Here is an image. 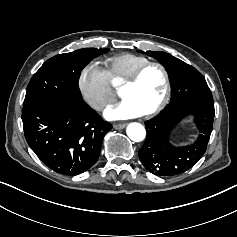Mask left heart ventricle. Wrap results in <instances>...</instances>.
I'll use <instances>...</instances> for the list:
<instances>
[{
  "instance_id": "1",
  "label": "left heart ventricle",
  "mask_w": 237,
  "mask_h": 237,
  "mask_svg": "<svg viewBox=\"0 0 237 237\" xmlns=\"http://www.w3.org/2000/svg\"><path fill=\"white\" fill-rule=\"evenodd\" d=\"M165 93V81L158 67L147 69L139 81L125 88L121 97L130 101L142 114L154 109L162 100Z\"/></svg>"
}]
</instances>
